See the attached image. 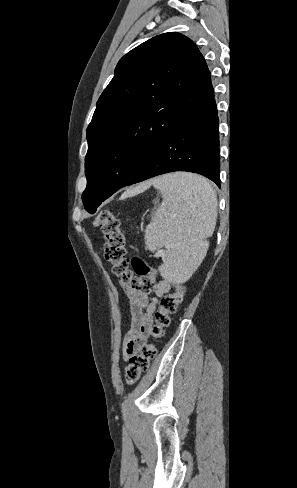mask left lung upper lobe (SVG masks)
<instances>
[{"label":"left lung upper lobe","instance_id":"left-lung-upper-lobe-1","mask_svg":"<svg viewBox=\"0 0 297 488\" xmlns=\"http://www.w3.org/2000/svg\"><path fill=\"white\" fill-rule=\"evenodd\" d=\"M213 96L203 56L180 33L155 36L124 55L87 128L85 209L95 213L173 129Z\"/></svg>","mask_w":297,"mask_h":488}]
</instances>
